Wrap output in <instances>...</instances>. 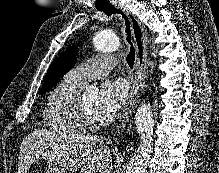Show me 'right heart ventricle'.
Segmentation results:
<instances>
[{
    "instance_id": "obj_1",
    "label": "right heart ventricle",
    "mask_w": 219,
    "mask_h": 173,
    "mask_svg": "<svg viewBox=\"0 0 219 173\" xmlns=\"http://www.w3.org/2000/svg\"><path fill=\"white\" fill-rule=\"evenodd\" d=\"M82 87L65 77L52 89L44 111L48 128L67 134L85 130L74 112V101Z\"/></svg>"
}]
</instances>
